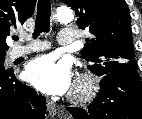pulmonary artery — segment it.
Segmentation results:
<instances>
[{"mask_svg":"<svg viewBox=\"0 0 142 119\" xmlns=\"http://www.w3.org/2000/svg\"><path fill=\"white\" fill-rule=\"evenodd\" d=\"M75 41V35L73 31L63 28L60 30L59 37H58V44L69 46L72 45ZM48 47V44L45 42H39V41H32L31 44L28 46H14L9 51V58L10 59H16L21 56L27 55L31 52L44 50Z\"/></svg>","mask_w":142,"mask_h":119,"instance_id":"1","label":"pulmonary artery"}]
</instances>
